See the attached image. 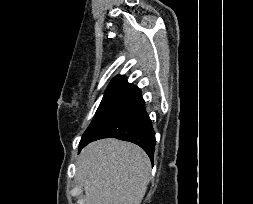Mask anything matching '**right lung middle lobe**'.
I'll return each instance as SVG.
<instances>
[{"label":"right lung middle lobe","mask_w":253,"mask_h":204,"mask_svg":"<svg viewBox=\"0 0 253 204\" xmlns=\"http://www.w3.org/2000/svg\"><path fill=\"white\" fill-rule=\"evenodd\" d=\"M138 87L129 83L110 84L105 91L104 97L97 109V112L84 132L79 147L86 142L93 131L128 97H130Z\"/></svg>","instance_id":"dd1d6c3e"}]
</instances>
